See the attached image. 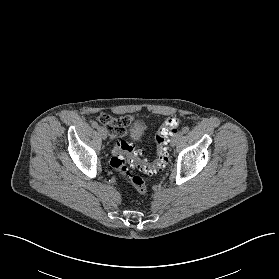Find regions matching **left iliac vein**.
<instances>
[{
  "label": "left iliac vein",
  "instance_id": "4c4485c4",
  "mask_svg": "<svg viewBox=\"0 0 279 279\" xmlns=\"http://www.w3.org/2000/svg\"><path fill=\"white\" fill-rule=\"evenodd\" d=\"M182 137H183V132L180 131L175 133L170 140V146L172 147L176 146L178 142L182 139Z\"/></svg>",
  "mask_w": 279,
  "mask_h": 279
}]
</instances>
